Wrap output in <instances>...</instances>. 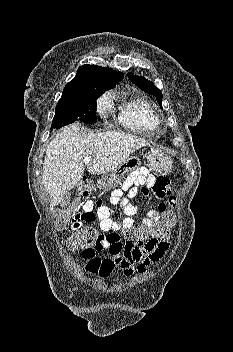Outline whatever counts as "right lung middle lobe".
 <instances>
[{"instance_id":"right-lung-middle-lobe-1","label":"right lung middle lobe","mask_w":233,"mask_h":352,"mask_svg":"<svg viewBox=\"0 0 233 352\" xmlns=\"http://www.w3.org/2000/svg\"><path fill=\"white\" fill-rule=\"evenodd\" d=\"M106 88L87 86L81 90L62 95L55 109L52 129H59L75 121L94 123L96 121V100Z\"/></svg>"}]
</instances>
